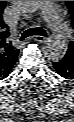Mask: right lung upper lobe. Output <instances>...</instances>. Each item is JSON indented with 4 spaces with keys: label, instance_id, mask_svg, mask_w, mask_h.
Wrapping results in <instances>:
<instances>
[{
    "label": "right lung upper lobe",
    "instance_id": "obj_1",
    "mask_svg": "<svg viewBox=\"0 0 74 122\" xmlns=\"http://www.w3.org/2000/svg\"><path fill=\"white\" fill-rule=\"evenodd\" d=\"M6 1H0V77H7L14 67L18 57V50L9 43L8 26L2 20V12Z\"/></svg>",
    "mask_w": 74,
    "mask_h": 122
}]
</instances>
